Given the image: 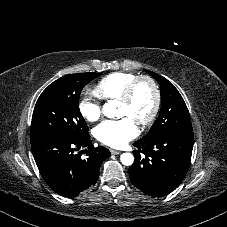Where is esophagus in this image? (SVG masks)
<instances>
[{"label":"esophagus","mask_w":227,"mask_h":227,"mask_svg":"<svg viewBox=\"0 0 227 227\" xmlns=\"http://www.w3.org/2000/svg\"><path fill=\"white\" fill-rule=\"evenodd\" d=\"M110 152H111L112 154H115V155H118V154L121 153V151H118V150H115V149H110Z\"/></svg>","instance_id":"34e87169"}]
</instances>
